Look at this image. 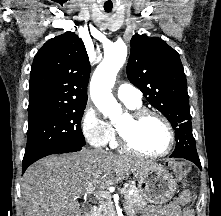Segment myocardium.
Segmentation results:
<instances>
[{
	"label": "myocardium",
	"mask_w": 221,
	"mask_h": 216,
	"mask_svg": "<svg viewBox=\"0 0 221 216\" xmlns=\"http://www.w3.org/2000/svg\"><path fill=\"white\" fill-rule=\"evenodd\" d=\"M147 117H155L159 119L166 127L168 135H169V143L166 149L159 153H147L140 148H138L132 141L129 133L125 130L122 124H116V136L118 145L124 151L133 153L135 155L145 157V158H160L168 155L175 145V132L170 123V121L161 113L149 109V108H138L134 109L125 114V119L130 127L137 126L143 119Z\"/></svg>",
	"instance_id": "f54148a6"
}]
</instances>
